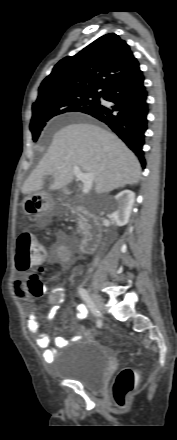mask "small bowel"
<instances>
[{
    "label": "small bowel",
    "mask_w": 177,
    "mask_h": 440,
    "mask_svg": "<svg viewBox=\"0 0 177 440\" xmlns=\"http://www.w3.org/2000/svg\"><path fill=\"white\" fill-rule=\"evenodd\" d=\"M56 257L59 263L67 264L72 260V253L66 245H60L56 249ZM31 289V282L28 281L21 288H17L16 293L20 299H26ZM64 297V291L61 287H55L49 294L48 304L51 307L48 312V318H53L55 315V307L62 301ZM42 311V307H38L29 312L26 321L29 331L36 335V345L38 348L44 350V359L47 362H54L57 358L58 351L56 348H50V337L40 332V325L38 322L39 315ZM87 315V308L84 305H77L76 307V319L82 320ZM80 336H75L71 340L77 341ZM55 346L62 348L68 345L69 341L64 337H56L54 339Z\"/></svg>",
    "instance_id": "c3829d8e"
}]
</instances>
